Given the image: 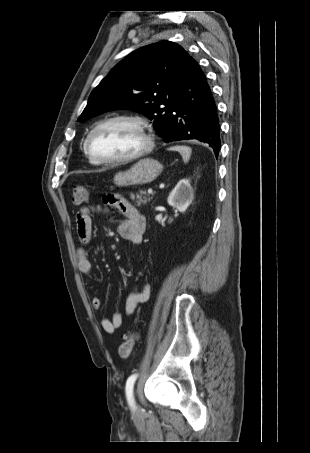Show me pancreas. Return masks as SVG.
<instances>
[{
  "instance_id": "pancreas-1",
  "label": "pancreas",
  "mask_w": 310,
  "mask_h": 453,
  "mask_svg": "<svg viewBox=\"0 0 310 453\" xmlns=\"http://www.w3.org/2000/svg\"><path fill=\"white\" fill-rule=\"evenodd\" d=\"M131 199L136 202V205L139 207L141 205H146L148 202L151 201L152 197L147 196L145 191H140L136 193V197L131 194Z\"/></svg>"
}]
</instances>
